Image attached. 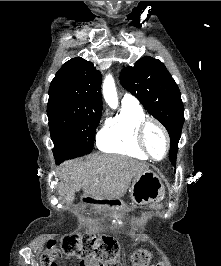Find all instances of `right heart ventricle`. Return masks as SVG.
Here are the masks:
<instances>
[{"instance_id":"obj_1","label":"right heart ventricle","mask_w":221,"mask_h":266,"mask_svg":"<svg viewBox=\"0 0 221 266\" xmlns=\"http://www.w3.org/2000/svg\"><path fill=\"white\" fill-rule=\"evenodd\" d=\"M146 117L140 106H122L121 112L109 120L97 137L102 151L118 153L138 159H148L137 141V127Z\"/></svg>"}]
</instances>
